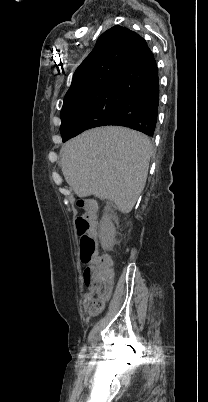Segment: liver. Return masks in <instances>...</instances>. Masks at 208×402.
Returning a JSON list of instances; mask_svg holds the SVG:
<instances>
[{
  "label": "liver",
  "mask_w": 208,
  "mask_h": 402,
  "mask_svg": "<svg viewBox=\"0 0 208 402\" xmlns=\"http://www.w3.org/2000/svg\"><path fill=\"white\" fill-rule=\"evenodd\" d=\"M151 152V142L141 132L94 128L64 144L61 168L76 196L111 200L129 214L145 188Z\"/></svg>",
  "instance_id": "1"
}]
</instances>
